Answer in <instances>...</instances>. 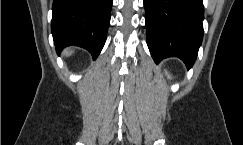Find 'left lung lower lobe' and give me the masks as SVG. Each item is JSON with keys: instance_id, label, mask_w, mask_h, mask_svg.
I'll return each instance as SVG.
<instances>
[{"instance_id": "1", "label": "left lung lower lobe", "mask_w": 243, "mask_h": 145, "mask_svg": "<svg viewBox=\"0 0 243 145\" xmlns=\"http://www.w3.org/2000/svg\"><path fill=\"white\" fill-rule=\"evenodd\" d=\"M147 45L155 63L178 57L191 68L203 38L202 0H143Z\"/></svg>"}]
</instances>
